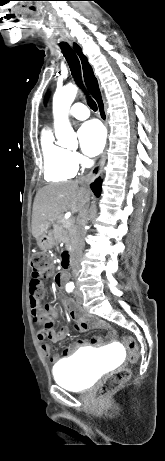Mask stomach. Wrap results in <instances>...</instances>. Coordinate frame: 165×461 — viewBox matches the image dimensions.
<instances>
[{"mask_svg":"<svg viewBox=\"0 0 165 461\" xmlns=\"http://www.w3.org/2000/svg\"><path fill=\"white\" fill-rule=\"evenodd\" d=\"M53 235L51 231L44 232L38 239L37 244L41 250H48L52 247Z\"/></svg>","mask_w":165,"mask_h":461,"instance_id":"0dacf381","label":"stomach"}]
</instances>
